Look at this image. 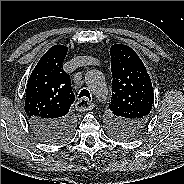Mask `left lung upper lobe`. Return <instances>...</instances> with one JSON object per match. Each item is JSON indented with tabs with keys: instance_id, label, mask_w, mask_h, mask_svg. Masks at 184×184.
I'll return each mask as SVG.
<instances>
[{
	"instance_id": "left-lung-upper-lobe-1",
	"label": "left lung upper lobe",
	"mask_w": 184,
	"mask_h": 184,
	"mask_svg": "<svg viewBox=\"0 0 184 184\" xmlns=\"http://www.w3.org/2000/svg\"><path fill=\"white\" fill-rule=\"evenodd\" d=\"M112 99L109 119L112 135L131 139L149 123L153 105V88L147 70L129 46L116 44L110 49Z\"/></svg>"
}]
</instances>
